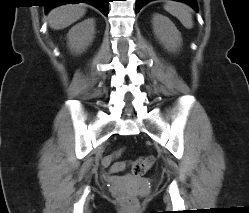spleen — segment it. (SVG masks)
<instances>
[{
  "label": "spleen",
  "mask_w": 249,
  "mask_h": 213,
  "mask_svg": "<svg viewBox=\"0 0 249 213\" xmlns=\"http://www.w3.org/2000/svg\"><path fill=\"white\" fill-rule=\"evenodd\" d=\"M164 8L167 12L178 18L182 25L187 29L193 27L191 11L184 3L168 1Z\"/></svg>",
  "instance_id": "3e777b00"
}]
</instances>
